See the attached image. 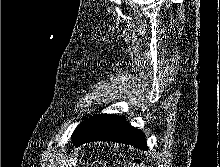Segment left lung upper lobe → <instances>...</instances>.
<instances>
[{"instance_id":"left-lung-upper-lobe-1","label":"left lung upper lobe","mask_w":220,"mask_h":167,"mask_svg":"<svg viewBox=\"0 0 220 167\" xmlns=\"http://www.w3.org/2000/svg\"><path fill=\"white\" fill-rule=\"evenodd\" d=\"M97 117L98 116L95 115L94 117H90L89 119H85L83 122H81L74 130V133L72 134V141L75 142L79 140L85 134V132L90 128V126L94 123Z\"/></svg>"}]
</instances>
